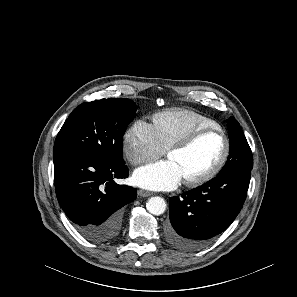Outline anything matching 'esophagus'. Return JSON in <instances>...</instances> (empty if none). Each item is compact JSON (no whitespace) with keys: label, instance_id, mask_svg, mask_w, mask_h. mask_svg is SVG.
<instances>
[{"label":"esophagus","instance_id":"obj_1","mask_svg":"<svg viewBox=\"0 0 297 297\" xmlns=\"http://www.w3.org/2000/svg\"><path fill=\"white\" fill-rule=\"evenodd\" d=\"M138 195L141 197H148V196H151L152 193L146 190H139Z\"/></svg>","mask_w":297,"mask_h":297}]
</instances>
